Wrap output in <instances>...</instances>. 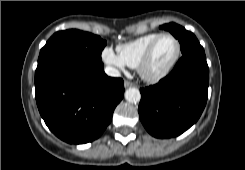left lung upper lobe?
<instances>
[{"instance_id":"5c2ea615","label":"left lung upper lobe","mask_w":245,"mask_h":170,"mask_svg":"<svg viewBox=\"0 0 245 170\" xmlns=\"http://www.w3.org/2000/svg\"><path fill=\"white\" fill-rule=\"evenodd\" d=\"M160 28L168 30L176 39L179 40L183 55L206 58L203 47L200 45L193 33L175 23L164 24L160 26Z\"/></svg>"}]
</instances>
